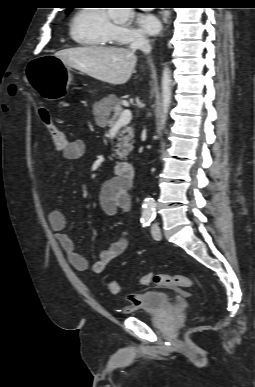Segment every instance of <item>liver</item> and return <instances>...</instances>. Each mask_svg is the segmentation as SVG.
Listing matches in <instances>:
<instances>
[{
  "instance_id": "6515ba94",
  "label": "liver",
  "mask_w": 255,
  "mask_h": 387,
  "mask_svg": "<svg viewBox=\"0 0 255 387\" xmlns=\"http://www.w3.org/2000/svg\"><path fill=\"white\" fill-rule=\"evenodd\" d=\"M55 57L68 67L114 85L125 84L137 63L135 52L122 47H77L58 51Z\"/></svg>"
}]
</instances>
